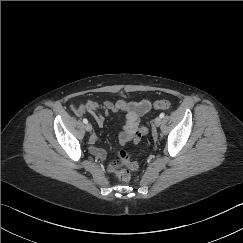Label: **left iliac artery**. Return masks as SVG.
Returning a JSON list of instances; mask_svg holds the SVG:
<instances>
[{"label":"left iliac artery","instance_id":"44dca946","mask_svg":"<svg viewBox=\"0 0 243 243\" xmlns=\"http://www.w3.org/2000/svg\"><path fill=\"white\" fill-rule=\"evenodd\" d=\"M164 116H165V113H161V114L159 115L160 118H164Z\"/></svg>","mask_w":243,"mask_h":243}]
</instances>
